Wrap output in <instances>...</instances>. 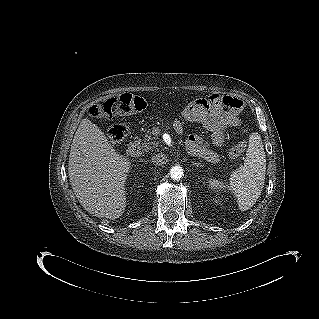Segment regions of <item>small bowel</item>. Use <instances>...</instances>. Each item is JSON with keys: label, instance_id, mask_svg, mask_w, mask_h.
Masks as SVG:
<instances>
[{"label": "small bowel", "instance_id": "obj_1", "mask_svg": "<svg viewBox=\"0 0 319 319\" xmlns=\"http://www.w3.org/2000/svg\"><path fill=\"white\" fill-rule=\"evenodd\" d=\"M241 121L235 111H225L220 107L210 109L208 118L205 121V127L212 133V141L215 146L221 147L226 140V131L228 128L238 127ZM174 127L178 132H182V124L179 121L174 122ZM187 149L190 153L205 157L211 161L217 159L216 155L201 145V137L191 135L187 140Z\"/></svg>", "mask_w": 319, "mask_h": 319}]
</instances>
